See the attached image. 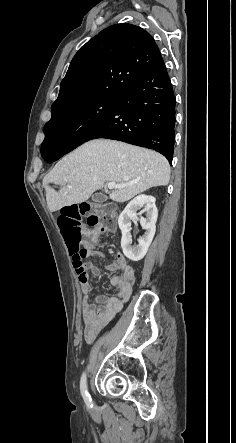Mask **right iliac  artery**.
<instances>
[{
  "mask_svg": "<svg viewBox=\"0 0 236 443\" xmlns=\"http://www.w3.org/2000/svg\"><path fill=\"white\" fill-rule=\"evenodd\" d=\"M80 390H81L82 397H83L85 403L87 404V406H92L91 396L87 391V380H86L85 373H83V375L81 377Z\"/></svg>",
  "mask_w": 236,
  "mask_h": 443,
  "instance_id": "obj_1",
  "label": "right iliac artery"
}]
</instances>
